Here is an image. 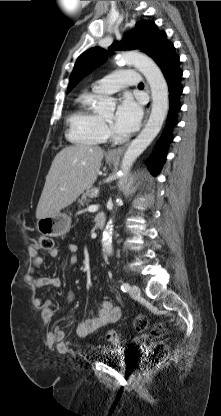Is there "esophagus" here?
<instances>
[{"label":"esophagus","mask_w":221,"mask_h":416,"mask_svg":"<svg viewBox=\"0 0 221 416\" xmlns=\"http://www.w3.org/2000/svg\"><path fill=\"white\" fill-rule=\"evenodd\" d=\"M149 112H150V107L147 109L144 123L147 120ZM124 149H125V146H122V147H119V148H116V149H112V150L108 151L107 157H109V158H119L122 155Z\"/></svg>","instance_id":"1"}]
</instances>
